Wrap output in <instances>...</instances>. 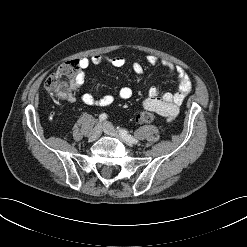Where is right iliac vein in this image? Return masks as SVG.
Segmentation results:
<instances>
[{"label": "right iliac vein", "mask_w": 247, "mask_h": 247, "mask_svg": "<svg viewBox=\"0 0 247 247\" xmlns=\"http://www.w3.org/2000/svg\"><path fill=\"white\" fill-rule=\"evenodd\" d=\"M101 131H102L101 125H100V124H97V125L93 128V130L91 131V133H90V139H91V140H96V139H98V138L100 137V135H101Z\"/></svg>", "instance_id": "63e3f726"}]
</instances>
